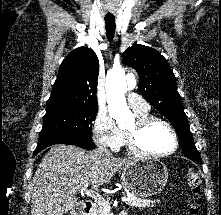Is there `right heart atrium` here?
<instances>
[{
	"label": "right heart atrium",
	"instance_id": "d8ad5b80",
	"mask_svg": "<svg viewBox=\"0 0 221 215\" xmlns=\"http://www.w3.org/2000/svg\"><path fill=\"white\" fill-rule=\"evenodd\" d=\"M93 139L98 146L116 151L123 145L124 132L110 116L100 113L94 121Z\"/></svg>",
	"mask_w": 221,
	"mask_h": 215
}]
</instances>
